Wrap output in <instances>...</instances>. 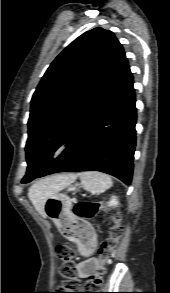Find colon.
I'll list each match as a JSON object with an SVG mask.
<instances>
[{
    "mask_svg": "<svg viewBox=\"0 0 170 293\" xmlns=\"http://www.w3.org/2000/svg\"><path fill=\"white\" fill-rule=\"evenodd\" d=\"M101 207H108L96 201L84 200L76 203L73 208V214L79 220L66 219L58 221L59 230L65 236H82L84 233L85 223L92 220ZM124 235V228L120 222H117L110 228L108 237L100 244L97 249L100 265L90 277L87 284L82 287L75 275V263L73 261L74 251L70 246H59L57 248L58 258L61 261L59 269L64 278L62 284L52 293H93V289L100 286L104 276V264L111 257L120 239ZM83 291V292H79Z\"/></svg>",
    "mask_w": 170,
    "mask_h": 293,
    "instance_id": "obj_1",
    "label": "colon"
}]
</instances>
